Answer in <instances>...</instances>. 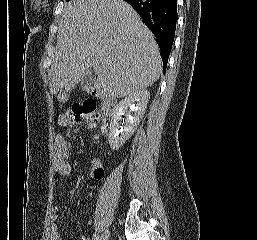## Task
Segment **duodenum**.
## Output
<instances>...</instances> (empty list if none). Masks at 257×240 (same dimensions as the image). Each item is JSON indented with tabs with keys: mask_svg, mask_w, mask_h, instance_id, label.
<instances>
[{
	"mask_svg": "<svg viewBox=\"0 0 257 240\" xmlns=\"http://www.w3.org/2000/svg\"><path fill=\"white\" fill-rule=\"evenodd\" d=\"M88 92L94 96L99 98L102 101V109H103V129L108 131L110 128V122L113 115V112L116 108L117 101L113 97L102 93L101 91L95 89L94 87H89Z\"/></svg>",
	"mask_w": 257,
	"mask_h": 240,
	"instance_id": "obj_1",
	"label": "duodenum"
}]
</instances>
